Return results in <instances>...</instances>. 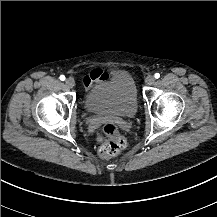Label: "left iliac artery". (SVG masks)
<instances>
[{
	"mask_svg": "<svg viewBox=\"0 0 217 217\" xmlns=\"http://www.w3.org/2000/svg\"><path fill=\"white\" fill-rule=\"evenodd\" d=\"M154 77H155L156 79H158V78L160 77V74H159V73H155Z\"/></svg>",
	"mask_w": 217,
	"mask_h": 217,
	"instance_id": "obj_1",
	"label": "left iliac artery"
}]
</instances>
